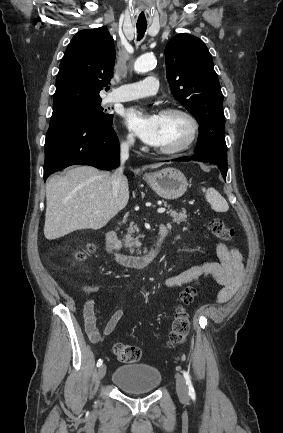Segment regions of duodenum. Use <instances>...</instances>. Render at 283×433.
<instances>
[{"label": "duodenum", "instance_id": "410a0bca", "mask_svg": "<svg viewBox=\"0 0 283 433\" xmlns=\"http://www.w3.org/2000/svg\"><path fill=\"white\" fill-rule=\"evenodd\" d=\"M168 234V229L165 225L158 227V235L156 242L149 251L143 255H126L120 252L119 236L115 231L107 233L105 238V249L112 254L115 260L126 267L141 269L149 265L156 257L164 237Z\"/></svg>", "mask_w": 283, "mask_h": 433}]
</instances>
